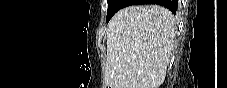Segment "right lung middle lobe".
Instances as JSON below:
<instances>
[{"label":"right lung middle lobe","instance_id":"right-lung-middle-lobe-1","mask_svg":"<svg viewBox=\"0 0 227 88\" xmlns=\"http://www.w3.org/2000/svg\"><path fill=\"white\" fill-rule=\"evenodd\" d=\"M129 0H107L108 10H107V22L112 18V16L121 8L127 5Z\"/></svg>","mask_w":227,"mask_h":88}]
</instances>
